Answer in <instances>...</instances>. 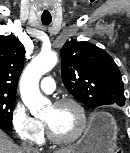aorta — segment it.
<instances>
[{"label":"aorta","instance_id":"obj_1","mask_svg":"<svg viewBox=\"0 0 130 153\" xmlns=\"http://www.w3.org/2000/svg\"><path fill=\"white\" fill-rule=\"evenodd\" d=\"M57 60L54 52L40 53L27 65L22 74L19 85L21 98L34 116L43 113L50 106V100L39 90V81L56 65Z\"/></svg>","mask_w":130,"mask_h":153}]
</instances>
